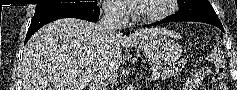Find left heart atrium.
Returning a JSON list of instances; mask_svg holds the SVG:
<instances>
[{
    "label": "left heart atrium",
    "mask_w": 237,
    "mask_h": 90,
    "mask_svg": "<svg viewBox=\"0 0 237 90\" xmlns=\"http://www.w3.org/2000/svg\"><path fill=\"white\" fill-rule=\"evenodd\" d=\"M121 3H146L147 0H120Z\"/></svg>",
    "instance_id": "39dd6f15"
}]
</instances>
